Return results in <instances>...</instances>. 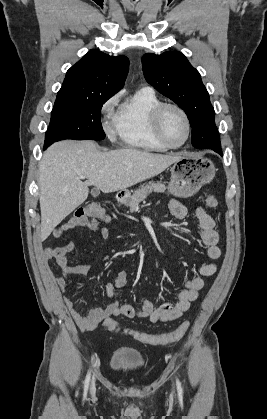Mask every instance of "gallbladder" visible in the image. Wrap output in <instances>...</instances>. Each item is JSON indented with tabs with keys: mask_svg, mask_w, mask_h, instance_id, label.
<instances>
[{
	"mask_svg": "<svg viewBox=\"0 0 267 419\" xmlns=\"http://www.w3.org/2000/svg\"><path fill=\"white\" fill-rule=\"evenodd\" d=\"M99 193H100V191H99V189H98V188L93 189V190H92V192H91V194H92L94 197H97V196L99 195Z\"/></svg>",
	"mask_w": 267,
	"mask_h": 419,
	"instance_id": "obj_1",
	"label": "gallbladder"
}]
</instances>
